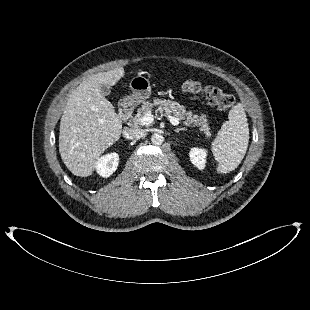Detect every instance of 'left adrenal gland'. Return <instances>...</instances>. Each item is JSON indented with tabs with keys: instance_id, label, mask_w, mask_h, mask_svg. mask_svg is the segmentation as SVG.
Here are the masks:
<instances>
[{
	"instance_id": "left-adrenal-gland-1",
	"label": "left adrenal gland",
	"mask_w": 310,
	"mask_h": 310,
	"mask_svg": "<svg viewBox=\"0 0 310 310\" xmlns=\"http://www.w3.org/2000/svg\"><path fill=\"white\" fill-rule=\"evenodd\" d=\"M180 131H187V128H177L175 129V132L179 133Z\"/></svg>"
}]
</instances>
